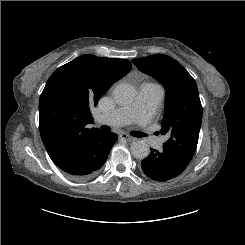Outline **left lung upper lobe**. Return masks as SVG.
Masks as SVG:
<instances>
[{"label":"left lung upper lobe","instance_id":"obj_1","mask_svg":"<svg viewBox=\"0 0 245 245\" xmlns=\"http://www.w3.org/2000/svg\"><path fill=\"white\" fill-rule=\"evenodd\" d=\"M132 62L142 72L158 79L165 88L161 133L170 134V138L163 145L191 160L202 122V106L195 80L179 62L167 55L156 54Z\"/></svg>","mask_w":245,"mask_h":245}]
</instances>
